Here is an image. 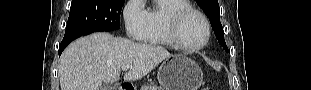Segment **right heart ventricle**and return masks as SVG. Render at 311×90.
Instances as JSON below:
<instances>
[{"label":"right heart ventricle","mask_w":311,"mask_h":90,"mask_svg":"<svg viewBox=\"0 0 311 90\" xmlns=\"http://www.w3.org/2000/svg\"><path fill=\"white\" fill-rule=\"evenodd\" d=\"M191 7L186 0H156L151 8L146 10V26L142 41L148 44L174 47L169 32L170 16L183 8Z\"/></svg>","instance_id":"obj_1"}]
</instances>
